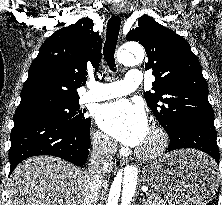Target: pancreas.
Segmentation results:
<instances>
[{
	"label": "pancreas",
	"mask_w": 222,
	"mask_h": 205,
	"mask_svg": "<svg viewBox=\"0 0 222 205\" xmlns=\"http://www.w3.org/2000/svg\"><path fill=\"white\" fill-rule=\"evenodd\" d=\"M148 204L149 205H167L166 201H164L162 198L158 197L155 194H152L149 196Z\"/></svg>",
	"instance_id": "pancreas-1"
}]
</instances>
